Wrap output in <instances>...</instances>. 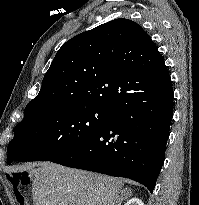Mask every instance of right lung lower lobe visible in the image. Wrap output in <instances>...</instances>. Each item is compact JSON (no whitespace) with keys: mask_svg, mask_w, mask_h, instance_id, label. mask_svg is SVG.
I'll list each match as a JSON object with an SVG mask.
<instances>
[{"mask_svg":"<svg viewBox=\"0 0 199 205\" xmlns=\"http://www.w3.org/2000/svg\"><path fill=\"white\" fill-rule=\"evenodd\" d=\"M173 117L168 73L156 87L110 110L109 123L88 141L51 162L126 177L152 193L162 168Z\"/></svg>","mask_w":199,"mask_h":205,"instance_id":"1","label":"right lung lower lobe"}]
</instances>
